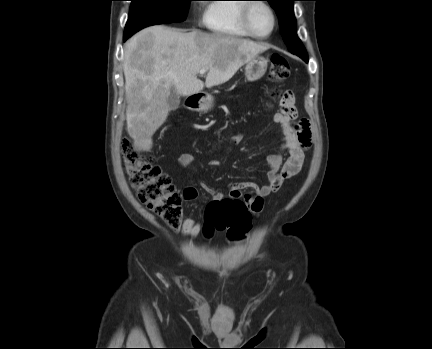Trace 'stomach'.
Segmentation results:
<instances>
[{
	"instance_id": "0dacf381",
	"label": "stomach",
	"mask_w": 432,
	"mask_h": 349,
	"mask_svg": "<svg viewBox=\"0 0 432 349\" xmlns=\"http://www.w3.org/2000/svg\"><path fill=\"white\" fill-rule=\"evenodd\" d=\"M268 59L263 56H256L251 59L245 66V77L247 81L253 82L260 79L266 72ZM214 105V98L210 94L201 97L198 103V109L202 112H208Z\"/></svg>"
}]
</instances>
